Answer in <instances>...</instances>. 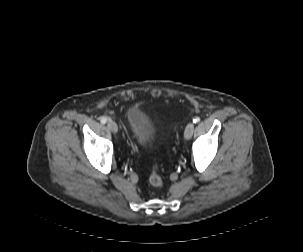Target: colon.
Segmentation results:
<instances>
[{
  "label": "colon",
  "instance_id": "colon-1",
  "mask_svg": "<svg viewBox=\"0 0 303 252\" xmlns=\"http://www.w3.org/2000/svg\"><path fill=\"white\" fill-rule=\"evenodd\" d=\"M149 181L154 187H161L163 185V180L160 177V175L158 174L156 167H154V169L149 177Z\"/></svg>",
  "mask_w": 303,
  "mask_h": 252
}]
</instances>
